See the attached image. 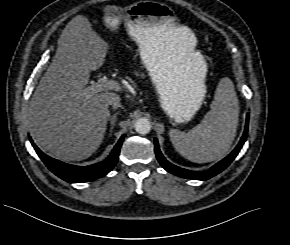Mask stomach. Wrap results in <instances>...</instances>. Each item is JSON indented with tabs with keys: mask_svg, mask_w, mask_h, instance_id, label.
Wrapping results in <instances>:
<instances>
[{
	"mask_svg": "<svg viewBox=\"0 0 290 245\" xmlns=\"http://www.w3.org/2000/svg\"><path fill=\"white\" fill-rule=\"evenodd\" d=\"M114 15L108 27L114 33L124 30L137 45L164 112L174 124L190 121L206 95V68L198 53L175 44L173 32L182 29L174 14L131 7Z\"/></svg>",
	"mask_w": 290,
	"mask_h": 245,
	"instance_id": "0dacf381",
	"label": "stomach"
}]
</instances>
